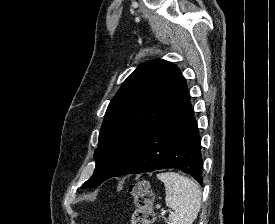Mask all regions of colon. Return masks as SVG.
<instances>
[{
	"mask_svg": "<svg viewBox=\"0 0 275 224\" xmlns=\"http://www.w3.org/2000/svg\"><path fill=\"white\" fill-rule=\"evenodd\" d=\"M135 210L131 216V224H152L154 220V193L146 180L139 181L130 187Z\"/></svg>",
	"mask_w": 275,
	"mask_h": 224,
	"instance_id": "colon-1",
	"label": "colon"
}]
</instances>
